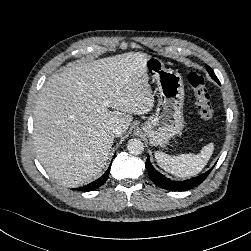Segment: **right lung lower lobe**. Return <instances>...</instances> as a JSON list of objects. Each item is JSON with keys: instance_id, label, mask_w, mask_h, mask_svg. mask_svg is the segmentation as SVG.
Masks as SVG:
<instances>
[{"instance_id": "right-lung-lower-lobe-1", "label": "right lung lower lobe", "mask_w": 251, "mask_h": 251, "mask_svg": "<svg viewBox=\"0 0 251 251\" xmlns=\"http://www.w3.org/2000/svg\"><path fill=\"white\" fill-rule=\"evenodd\" d=\"M110 168H111V165L109 166V168L106 170V172L99 179H97L96 181H94L90 184H87V185L79 188V190L85 191V192L93 191V190L99 188L100 186H102L108 179Z\"/></svg>"}]
</instances>
